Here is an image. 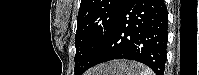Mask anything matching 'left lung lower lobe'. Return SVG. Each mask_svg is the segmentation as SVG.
Here are the masks:
<instances>
[{
	"instance_id": "1",
	"label": "left lung lower lobe",
	"mask_w": 199,
	"mask_h": 75,
	"mask_svg": "<svg viewBox=\"0 0 199 75\" xmlns=\"http://www.w3.org/2000/svg\"><path fill=\"white\" fill-rule=\"evenodd\" d=\"M168 12L164 0H127L113 30L90 67L114 59H129L164 75Z\"/></svg>"
}]
</instances>
